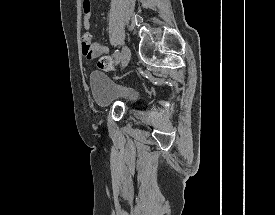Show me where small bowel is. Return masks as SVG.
<instances>
[{"mask_svg": "<svg viewBox=\"0 0 275 215\" xmlns=\"http://www.w3.org/2000/svg\"><path fill=\"white\" fill-rule=\"evenodd\" d=\"M83 20L85 33L81 38V48L84 57L88 60L97 58L100 55H106L109 53V49L106 46H102L97 42H93L92 34L90 33V19L92 16V5L90 0L83 1Z\"/></svg>", "mask_w": 275, "mask_h": 215, "instance_id": "obj_1", "label": "small bowel"}]
</instances>
